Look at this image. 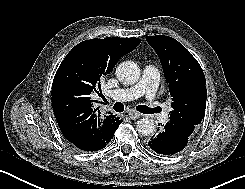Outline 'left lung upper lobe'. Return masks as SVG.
Instances as JSON below:
<instances>
[{
  "mask_svg": "<svg viewBox=\"0 0 245 189\" xmlns=\"http://www.w3.org/2000/svg\"><path fill=\"white\" fill-rule=\"evenodd\" d=\"M146 40L161 60L172 97L167 128L181 138H190L202 121L206 108V80L189 51L174 38L156 35Z\"/></svg>",
  "mask_w": 245,
  "mask_h": 189,
  "instance_id": "left-lung-upper-lobe-1",
  "label": "left lung upper lobe"
}]
</instances>
